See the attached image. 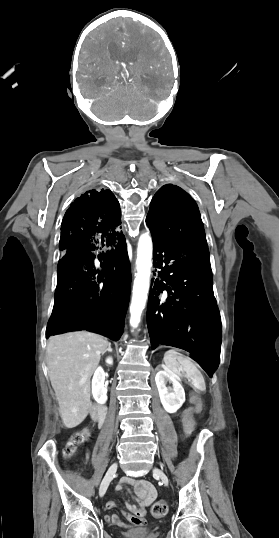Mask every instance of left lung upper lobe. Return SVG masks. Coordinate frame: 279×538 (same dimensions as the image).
Instances as JSON below:
<instances>
[{
  "mask_svg": "<svg viewBox=\"0 0 279 538\" xmlns=\"http://www.w3.org/2000/svg\"><path fill=\"white\" fill-rule=\"evenodd\" d=\"M146 223L156 241L208 248L198 206L178 186L166 184L156 192Z\"/></svg>",
  "mask_w": 279,
  "mask_h": 538,
  "instance_id": "5c2ea615",
  "label": "left lung upper lobe"
}]
</instances>
